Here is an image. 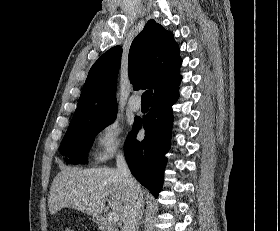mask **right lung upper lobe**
Returning a JSON list of instances; mask_svg holds the SVG:
<instances>
[{"instance_id": "right-lung-upper-lobe-1", "label": "right lung upper lobe", "mask_w": 280, "mask_h": 231, "mask_svg": "<svg viewBox=\"0 0 280 231\" xmlns=\"http://www.w3.org/2000/svg\"><path fill=\"white\" fill-rule=\"evenodd\" d=\"M121 54L122 48L115 46L93 64L70 124L117 113L115 88ZM181 62L173 34L149 20L129 50L128 72L133 89L152 88L153 98L171 92L179 86Z\"/></svg>"}]
</instances>
